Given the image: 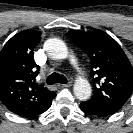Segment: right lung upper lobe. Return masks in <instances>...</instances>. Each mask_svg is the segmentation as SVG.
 Segmentation results:
<instances>
[{
    "label": "right lung upper lobe",
    "instance_id": "cb5924a9",
    "mask_svg": "<svg viewBox=\"0 0 133 133\" xmlns=\"http://www.w3.org/2000/svg\"><path fill=\"white\" fill-rule=\"evenodd\" d=\"M41 32L25 30L14 35L0 52V101L11 112L32 117L45 112L55 92L35 84L40 67L33 51Z\"/></svg>",
    "mask_w": 133,
    "mask_h": 133
}]
</instances>
